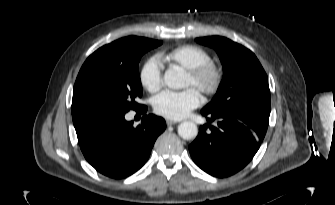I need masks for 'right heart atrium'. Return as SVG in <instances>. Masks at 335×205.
<instances>
[{
	"mask_svg": "<svg viewBox=\"0 0 335 205\" xmlns=\"http://www.w3.org/2000/svg\"><path fill=\"white\" fill-rule=\"evenodd\" d=\"M140 82L149 92H156L162 85V65L158 57L148 58L140 70Z\"/></svg>",
	"mask_w": 335,
	"mask_h": 205,
	"instance_id": "d8ad5b80",
	"label": "right heart atrium"
}]
</instances>
